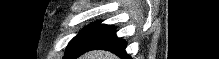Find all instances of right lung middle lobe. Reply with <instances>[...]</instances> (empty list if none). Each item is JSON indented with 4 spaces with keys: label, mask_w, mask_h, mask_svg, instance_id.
<instances>
[{
    "label": "right lung middle lobe",
    "mask_w": 219,
    "mask_h": 59,
    "mask_svg": "<svg viewBox=\"0 0 219 59\" xmlns=\"http://www.w3.org/2000/svg\"><path fill=\"white\" fill-rule=\"evenodd\" d=\"M113 31L114 27L110 25L100 24V22L92 23L70 41L64 59H76L81 54L91 50L97 42Z\"/></svg>",
    "instance_id": "right-lung-middle-lobe-1"
}]
</instances>
